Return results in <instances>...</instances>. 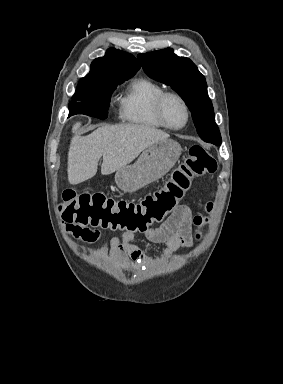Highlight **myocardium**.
<instances>
[{
    "label": "myocardium",
    "instance_id": "1",
    "mask_svg": "<svg viewBox=\"0 0 283 384\" xmlns=\"http://www.w3.org/2000/svg\"><path fill=\"white\" fill-rule=\"evenodd\" d=\"M170 97H174V98L178 99L180 101V103L182 104L184 111H185V115H186L185 121H184L183 125H181L179 127L170 126L164 118V113H163L164 105H165L166 100ZM153 116H154L155 120L158 122V124L160 126H162L164 129L171 130V131H178V130H181L187 126V124L190 120V109H189V106H188L186 100L180 94H178L176 92H164L157 98V100L155 101V103L153 105Z\"/></svg>",
    "mask_w": 283,
    "mask_h": 384
}]
</instances>
